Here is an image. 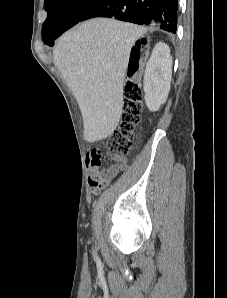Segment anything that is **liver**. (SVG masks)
Here are the masks:
<instances>
[{"mask_svg": "<svg viewBox=\"0 0 227 298\" xmlns=\"http://www.w3.org/2000/svg\"><path fill=\"white\" fill-rule=\"evenodd\" d=\"M145 32L131 23L94 18L58 39L54 63L79 104L88 142L103 140L116 129L130 51Z\"/></svg>", "mask_w": 227, "mask_h": 298, "instance_id": "1", "label": "liver"}]
</instances>
